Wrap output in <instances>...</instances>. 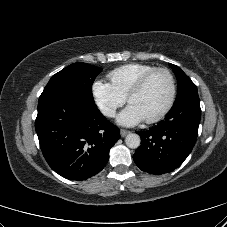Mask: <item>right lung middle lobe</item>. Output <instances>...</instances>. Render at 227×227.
<instances>
[{"label":"right lung middle lobe","mask_w":227,"mask_h":227,"mask_svg":"<svg viewBox=\"0 0 227 227\" xmlns=\"http://www.w3.org/2000/svg\"><path fill=\"white\" fill-rule=\"evenodd\" d=\"M101 71V68L83 62L71 64L51 77L43 93L69 89L87 100L94 101L92 84Z\"/></svg>","instance_id":"obj_1"}]
</instances>
